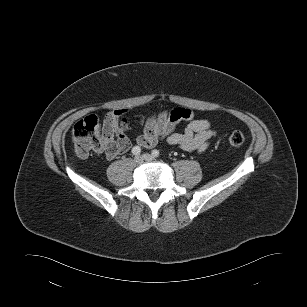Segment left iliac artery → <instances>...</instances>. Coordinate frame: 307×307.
I'll use <instances>...</instances> for the list:
<instances>
[{"mask_svg": "<svg viewBox=\"0 0 307 307\" xmlns=\"http://www.w3.org/2000/svg\"><path fill=\"white\" fill-rule=\"evenodd\" d=\"M152 155L154 156V157H159V151L158 150H153L152 151Z\"/></svg>", "mask_w": 307, "mask_h": 307, "instance_id": "left-iliac-artery-1", "label": "left iliac artery"}]
</instances>
